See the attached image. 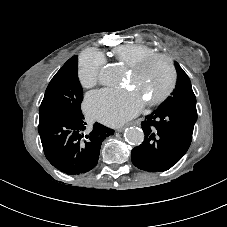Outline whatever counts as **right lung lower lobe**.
<instances>
[{
    "instance_id": "1",
    "label": "right lung lower lobe",
    "mask_w": 227,
    "mask_h": 227,
    "mask_svg": "<svg viewBox=\"0 0 227 227\" xmlns=\"http://www.w3.org/2000/svg\"><path fill=\"white\" fill-rule=\"evenodd\" d=\"M83 115L62 114L39 124L43 151L48 161L58 170L78 175L92 170L98 163L102 141L114 130L95 123L86 129Z\"/></svg>"
}]
</instances>
